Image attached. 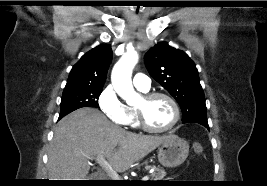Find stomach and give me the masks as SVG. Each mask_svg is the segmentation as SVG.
<instances>
[{
  "instance_id": "obj_1",
  "label": "stomach",
  "mask_w": 267,
  "mask_h": 186,
  "mask_svg": "<svg viewBox=\"0 0 267 186\" xmlns=\"http://www.w3.org/2000/svg\"><path fill=\"white\" fill-rule=\"evenodd\" d=\"M189 153V144L177 135L170 134L158 149V160L165 167L181 165Z\"/></svg>"
}]
</instances>
